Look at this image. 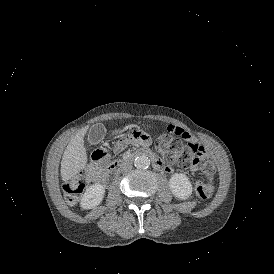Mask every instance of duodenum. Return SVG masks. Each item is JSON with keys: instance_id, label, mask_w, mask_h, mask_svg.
<instances>
[{"instance_id": "410a0bca", "label": "duodenum", "mask_w": 274, "mask_h": 274, "mask_svg": "<svg viewBox=\"0 0 274 274\" xmlns=\"http://www.w3.org/2000/svg\"><path fill=\"white\" fill-rule=\"evenodd\" d=\"M139 156H146L150 158L153 162L154 167L158 170L166 169V166L163 163V161L157 155H155L151 150L145 148V149L138 150L122 159H119L110 163L109 164L110 172L112 173L117 172L122 166L132 162L135 158ZM101 159L102 158L100 156L96 157V160H101Z\"/></svg>"}]
</instances>
